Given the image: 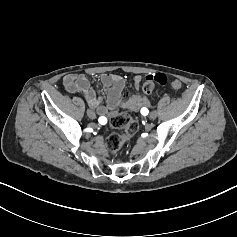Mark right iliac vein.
<instances>
[{
    "mask_svg": "<svg viewBox=\"0 0 237 237\" xmlns=\"http://www.w3.org/2000/svg\"><path fill=\"white\" fill-rule=\"evenodd\" d=\"M87 116L91 119H95L96 118V113L93 110L88 109L87 110Z\"/></svg>",
    "mask_w": 237,
    "mask_h": 237,
    "instance_id": "1",
    "label": "right iliac vein"
}]
</instances>
